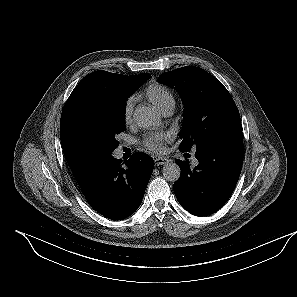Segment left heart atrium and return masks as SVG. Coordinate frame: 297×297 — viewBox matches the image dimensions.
Here are the masks:
<instances>
[{
  "label": "left heart atrium",
  "instance_id": "left-heart-atrium-1",
  "mask_svg": "<svg viewBox=\"0 0 297 297\" xmlns=\"http://www.w3.org/2000/svg\"><path fill=\"white\" fill-rule=\"evenodd\" d=\"M169 139V135L166 133H150L144 140L143 145L152 152H161L163 142Z\"/></svg>",
  "mask_w": 297,
  "mask_h": 297
}]
</instances>
